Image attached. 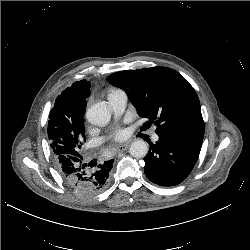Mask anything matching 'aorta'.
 Listing matches in <instances>:
<instances>
[{"instance_id":"762f6f07","label":"aorta","mask_w":250,"mask_h":250,"mask_svg":"<svg viewBox=\"0 0 250 250\" xmlns=\"http://www.w3.org/2000/svg\"><path fill=\"white\" fill-rule=\"evenodd\" d=\"M110 117L111 110L106 102H97L91 105L86 112L88 122L95 126L107 124ZM129 153L135 158H143L148 153V145L143 140H135L130 145Z\"/></svg>"}]
</instances>
